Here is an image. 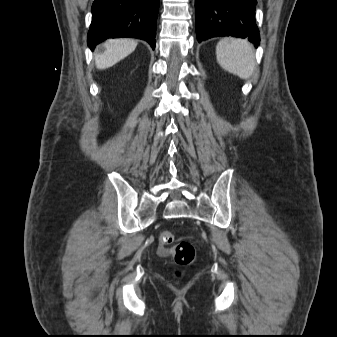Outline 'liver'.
<instances>
[{
	"instance_id": "6515ba94",
	"label": "liver",
	"mask_w": 337,
	"mask_h": 337,
	"mask_svg": "<svg viewBox=\"0 0 337 337\" xmlns=\"http://www.w3.org/2000/svg\"><path fill=\"white\" fill-rule=\"evenodd\" d=\"M137 46L133 39H110L103 44V52L96 59L98 69L109 68L131 54Z\"/></svg>"
}]
</instances>
